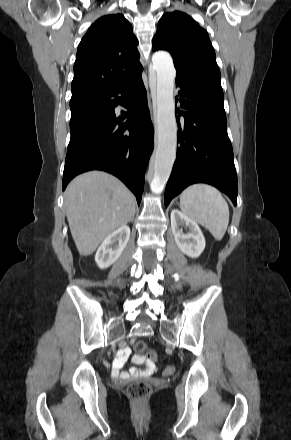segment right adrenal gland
I'll return each instance as SVG.
<instances>
[{
  "mask_svg": "<svg viewBox=\"0 0 291 440\" xmlns=\"http://www.w3.org/2000/svg\"><path fill=\"white\" fill-rule=\"evenodd\" d=\"M133 220H134V216L132 217L131 221H133Z\"/></svg>",
  "mask_w": 291,
  "mask_h": 440,
  "instance_id": "obj_1",
  "label": "right adrenal gland"
}]
</instances>
